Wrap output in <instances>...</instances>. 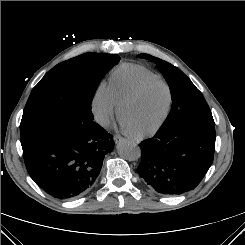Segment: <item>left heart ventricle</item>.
I'll return each mask as SVG.
<instances>
[{"label": "left heart ventricle", "mask_w": 245, "mask_h": 245, "mask_svg": "<svg viewBox=\"0 0 245 245\" xmlns=\"http://www.w3.org/2000/svg\"><path fill=\"white\" fill-rule=\"evenodd\" d=\"M166 103V88L160 82H152L136 100L124 108L122 117L133 132L145 131L159 121Z\"/></svg>", "instance_id": "1"}]
</instances>
